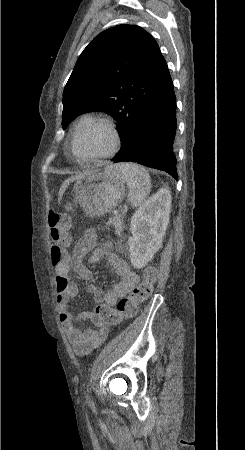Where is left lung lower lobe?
<instances>
[{"label": "left lung lower lobe", "instance_id": "left-lung-lower-lobe-1", "mask_svg": "<svg viewBox=\"0 0 245 450\" xmlns=\"http://www.w3.org/2000/svg\"><path fill=\"white\" fill-rule=\"evenodd\" d=\"M176 96L169 73L145 102L126 145L111 161H132L169 173L178 180L175 155Z\"/></svg>", "mask_w": 245, "mask_h": 450}]
</instances>
